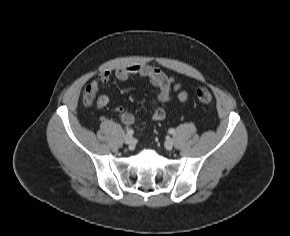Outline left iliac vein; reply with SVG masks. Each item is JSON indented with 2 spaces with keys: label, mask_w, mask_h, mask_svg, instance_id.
Instances as JSON below:
<instances>
[{
  "label": "left iliac vein",
  "mask_w": 290,
  "mask_h": 236,
  "mask_svg": "<svg viewBox=\"0 0 290 236\" xmlns=\"http://www.w3.org/2000/svg\"><path fill=\"white\" fill-rule=\"evenodd\" d=\"M164 145L167 150H171L174 146V141L172 139H167Z\"/></svg>",
  "instance_id": "obj_1"
}]
</instances>
